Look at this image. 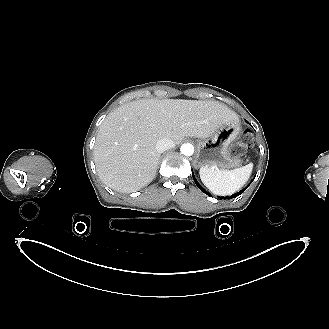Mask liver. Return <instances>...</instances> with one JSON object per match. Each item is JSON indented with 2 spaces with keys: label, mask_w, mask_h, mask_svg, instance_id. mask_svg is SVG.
Returning a JSON list of instances; mask_svg holds the SVG:
<instances>
[{
  "label": "liver",
  "mask_w": 329,
  "mask_h": 329,
  "mask_svg": "<svg viewBox=\"0 0 329 329\" xmlns=\"http://www.w3.org/2000/svg\"><path fill=\"white\" fill-rule=\"evenodd\" d=\"M237 114L213 100L142 99L126 103L105 118L97 134L94 161L100 179L119 192L149 184L160 154L156 143L185 136L207 138Z\"/></svg>",
  "instance_id": "6515ba94"
}]
</instances>
